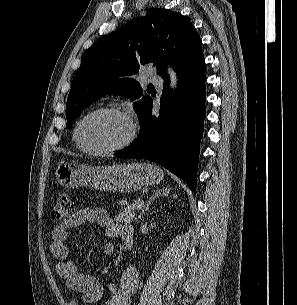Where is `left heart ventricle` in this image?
Wrapping results in <instances>:
<instances>
[{
  "mask_svg": "<svg viewBox=\"0 0 297 305\" xmlns=\"http://www.w3.org/2000/svg\"><path fill=\"white\" fill-rule=\"evenodd\" d=\"M129 132L127 121L115 114L100 113L86 119L80 128L85 146L109 147L122 142Z\"/></svg>",
  "mask_w": 297,
  "mask_h": 305,
  "instance_id": "obj_1",
  "label": "left heart ventricle"
}]
</instances>
